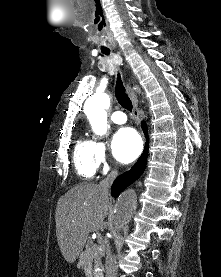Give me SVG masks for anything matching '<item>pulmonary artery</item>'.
<instances>
[{
  "label": "pulmonary artery",
  "mask_w": 221,
  "mask_h": 277,
  "mask_svg": "<svg viewBox=\"0 0 221 277\" xmlns=\"http://www.w3.org/2000/svg\"><path fill=\"white\" fill-rule=\"evenodd\" d=\"M111 119L116 124H124L127 121V117L122 111L113 112Z\"/></svg>",
  "instance_id": "obj_1"
}]
</instances>
